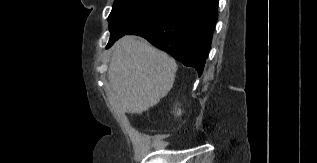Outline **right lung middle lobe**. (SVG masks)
I'll return each instance as SVG.
<instances>
[{
  "label": "right lung middle lobe",
  "mask_w": 317,
  "mask_h": 163,
  "mask_svg": "<svg viewBox=\"0 0 317 163\" xmlns=\"http://www.w3.org/2000/svg\"><path fill=\"white\" fill-rule=\"evenodd\" d=\"M173 0H115L109 15V43L162 13Z\"/></svg>",
  "instance_id": "1"
}]
</instances>
